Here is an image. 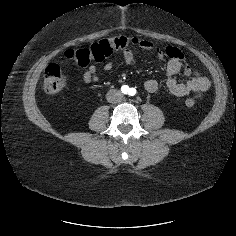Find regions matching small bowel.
I'll return each instance as SVG.
<instances>
[{
	"label": "small bowel",
	"instance_id": "1",
	"mask_svg": "<svg viewBox=\"0 0 236 236\" xmlns=\"http://www.w3.org/2000/svg\"><path fill=\"white\" fill-rule=\"evenodd\" d=\"M138 47L142 51H154L158 59L162 60L165 57L169 58L166 65V87L169 92L175 96L194 95L196 98H201L210 88V80L203 76L200 72H193L191 67L185 63L183 53L176 47L167 46L164 49L156 47L153 43L142 40L138 43ZM123 59L126 64L133 65L136 61L135 54L129 48L122 51ZM113 62L107 60L104 62L103 68L105 71L113 69ZM180 71L188 79L185 82H178L174 76ZM99 80V73L94 65H88L83 72V81L85 84H91ZM146 91L153 93L158 88V82L155 79H147L144 82Z\"/></svg>",
	"mask_w": 236,
	"mask_h": 236
}]
</instances>
